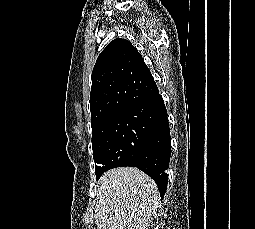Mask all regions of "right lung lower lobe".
Instances as JSON below:
<instances>
[{"instance_id":"98d812e1","label":"right lung lower lobe","mask_w":255,"mask_h":229,"mask_svg":"<svg viewBox=\"0 0 255 229\" xmlns=\"http://www.w3.org/2000/svg\"><path fill=\"white\" fill-rule=\"evenodd\" d=\"M125 110L143 119L149 130L137 161L130 166L137 167L155 181L162 199L168 184L166 170L170 162L171 141L166 107L157 86L151 96Z\"/></svg>"}]
</instances>
